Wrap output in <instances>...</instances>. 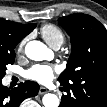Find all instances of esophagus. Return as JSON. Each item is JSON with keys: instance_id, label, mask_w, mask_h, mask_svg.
Listing matches in <instances>:
<instances>
[{"instance_id": "1", "label": "esophagus", "mask_w": 107, "mask_h": 107, "mask_svg": "<svg viewBox=\"0 0 107 107\" xmlns=\"http://www.w3.org/2000/svg\"><path fill=\"white\" fill-rule=\"evenodd\" d=\"M48 92V90L45 88V87H40L39 88V94L40 95H43V94H45V93H47Z\"/></svg>"}]
</instances>
